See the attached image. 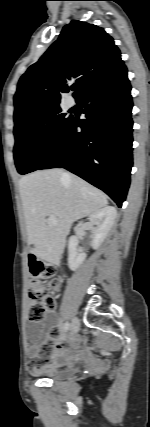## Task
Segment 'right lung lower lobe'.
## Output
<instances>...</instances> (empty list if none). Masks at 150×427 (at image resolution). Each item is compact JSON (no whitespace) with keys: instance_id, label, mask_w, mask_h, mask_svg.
I'll return each mask as SVG.
<instances>
[{"instance_id":"1","label":"right lung lower lobe","mask_w":150,"mask_h":427,"mask_svg":"<svg viewBox=\"0 0 150 427\" xmlns=\"http://www.w3.org/2000/svg\"><path fill=\"white\" fill-rule=\"evenodd\" d=\"M130 90L123 65L84 92L77 102L85 106V118L70 121L37 169L63 167L106 192L121 207L133 165Z\"/></svg>"}]
</instances>
